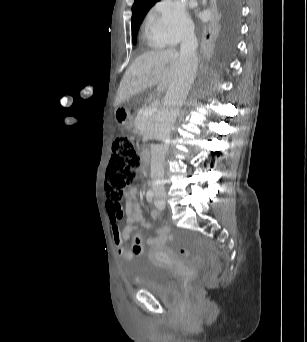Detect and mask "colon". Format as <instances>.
<instances>
[{
	"instance_id": "5ec220e1",
	"label": "colon",
	"mask_w": 307,
	"mask_h": 342,
	"mask_svg": "<svg viewBox=\"0 0 307 342\" xmlns=\"http://www.w3.org/2000/svg\"><path fill=\"white\" fill-rule=\"evenodd\" d=\"M140 163L134 145L128 137H120L115 141L111 161L106 172V194L111 199V207H117L122 202L125 188L132 183ZM132 245L133 254L140 256L142 252L138 235L133 237ZM177 251L182 254L188 253V250L182 246H179ZM194 287L190 290L191 294L187 296L191 307L197 306V295L201 293V282L195 281Z\"/></svg>"
}]
</instances>
